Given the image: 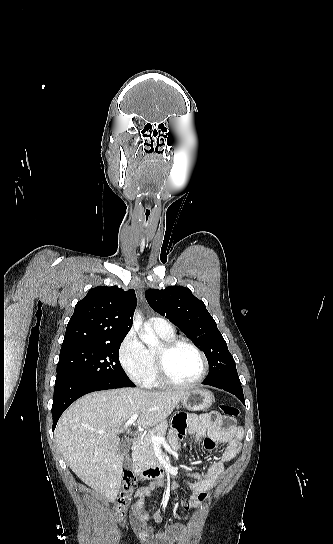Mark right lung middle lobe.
Here are the masks:
<instances>
[{"label":"right lung middle lobe","mask_w":333,"mask_h":544,"mask_svg":"<svg viewBox=\"0 0 333 544\" xmlns=\"http://www.w3.org/2000/svg\"><path fill=\"white\" fill-rule=\"evenodd\" d=\"M125 337L61 348L56 377H76L88 382L133 384L118 357Z\"/></svg>","instance_id":"dd1d6c3e"}]
</instances>
